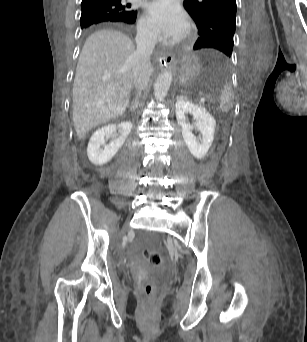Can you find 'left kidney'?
Returning a JSON list of instances; mask_svg holds the SVG:
<instances>
[{
  "label": "left kidney",
  "instance_id": "5707ae66",
  "mask_svg": "<svg viewBox=\"0 0 307 342\" xmlns=\"http://www.w3.org/2000/svg\"><path fill=\"white\" fill-rule=\"evenodd\" d=\"M175 112L177 124L181 126L183 140L189 152L197 160H202L214 140L216 122L213 116L205 108L189 102L187 98H178L175 104ZM187 114L192 116L194 124H189ZM193 128H198L201 134L200 138H196L192 134Z\"/></svg>",
  "mask_w": 307,
  "mask_h": 342
}]
</instances>
